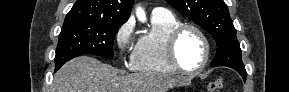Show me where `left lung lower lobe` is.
Wrapping results in <instances>:
<instances>
[{"label": "left lung lower lobe", "instance_id": "0a47b994", "mask_svg": "<svg viewBox=\"0 0 289 92\" xmlns=\"http://www.w3.org/2000/svg\"><path fill=\"white\" fill-rule=\"evenodd\" d=\"M235 70L242 76L243 80L246 81L247 72H246L245 68L244 69L237 68Z\"/></svg>", "mask_w": 289, "mask_h": 92}]
</instances>
